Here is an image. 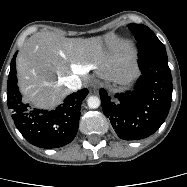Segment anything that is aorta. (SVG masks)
Wrapping results in <instances>:
<instances>
[{"label": "aorta", "instance_id": "1", "mask_svg": "<svg viewBox=\"0 0 187 187\" xmlns=\"http://www.w3.org/2000/svg\"><path fill=\"white\" fill-rule=\"evenodd\" d=\"M100 99L97 96H90L87 99V105L91 109H96L100 106Z\"/></svg>", "mask_w": 187, "mask_h": 187}]
</instances>
